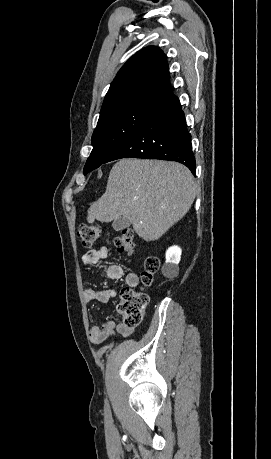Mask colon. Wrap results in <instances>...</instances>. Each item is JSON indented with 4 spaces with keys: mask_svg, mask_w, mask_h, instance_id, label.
<instances>
[{
    "mask_svg": "<svg viewBox=\"0 0 271 459\" xmlns=\"http://www.w3.org/2000/svg\"><path fill=\"white\" fill-rule=\"evenodd\" d=\"M163 0H149L151 3H160ZM102 234V229L97 225L82 224L77 228V236L84 247H90L96 243ZM135 234L132 229L122 230L114 240V245L118 252L132 254L135 249ZM159 259L155 256H149L145 260L144 270L141 273L143 287L131 288L126 287L121 290V301L118 305V311L123 316L124 324L128 327H136L143 320L145 311L149 305V295L145 287L153 281V276L159 269Z\"/></svg>",
    "mask_w": 271,
    "mask_h": 459,
    "instance_id": "colon-1",
    "label": "colon"
}]
</instances>
